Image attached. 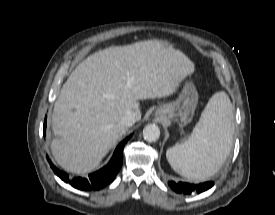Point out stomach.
<instances>
[{"label":"stomach","mask_w":275,"mask_h":215,"mask_svg":"<svg viewBox=\"0 0 275 215\" xmlns=\"http://www.w3.org/2000/svg\"><path fill=\"white\" fill-rule=\"evenodd\" d=\"M164 45L169 47L167 43H164ZM197 104V90L192 82H186L177 100L159 106L155 114L156 116L175 119L181 126H184L192 119Z\"/></svg>","instance_id":"1"}]
</instances>
